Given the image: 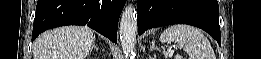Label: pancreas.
<instances>
[{"label": "pancreas", "mask_w": 261, "mask_h": 59, "mask_svg": "<svg viewBox=\"0 0 261 59\" xmlns=\"http://www.w3.org/2000/svg\"><path fill=\"white\" fill-rule=\"evenodd\" d=\"M175 59H181V57H179V56L177 55V56H175Z\"/></svg>", "instance_id": "1"}]
</instances>
